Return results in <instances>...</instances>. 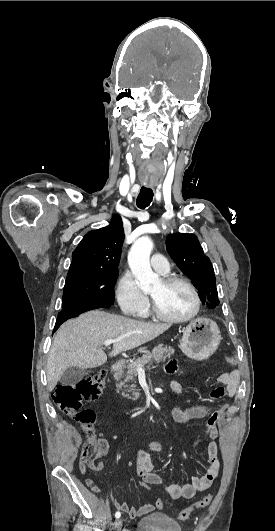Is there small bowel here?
<instances>
[{
	"mask_svg": "<svg viewBox=\"0 0 275 531\" xmlns=\"http://www.w3.org/2000/svg\"><path fill=\"white\" fill-rule=\"evenodd\" d=\"M178 370V361L176 359L170 360L167 364V371L169 373H176ZM240 381V373L238 370L229 372H222L217 377V382L224 386L226 390V396L232 398L236 395ZM171 392L176 397H181L184 394V384L181 380L175 379L170 385ZM225 411V406L220 405L218 407H212L207 404H196L182 409L179 404H175L171 409L172 417L179 423H186L191 420L201 419L209 416L206 425L205 432L209 438V442L206 446L207 453V469L206 473L201 477H195L190 483L182 485L168 484L166 485V491L170 498L176 499H191L196 492L204 491L208 489L213 482L217 479L220 471L219 460V446L217 438L219 436L218 420L221 418ZM150 449L153 452H161L162 445L158 441H154L150 445ZM82 458V457H81ZM136 473L140 478H149L151 483L157 485L162 484L161 476L154 471L153 461L147 451L140 450L136 455L135 460ZM101 470V469H93ZM95 494H98L100 489L96 485L95 488H89ZM112 506L121 511L127 512L129 517L134 519L151 513L154 510V506L150 503L143 504L140 507H129L126 502L115 499L112 501Z\"/></svg>",
	"mask_w": 275,
	"mask_h": 531,
	"instance_id": "small-bowel-1",
	"label": "small bowel"
}]
</instances>
